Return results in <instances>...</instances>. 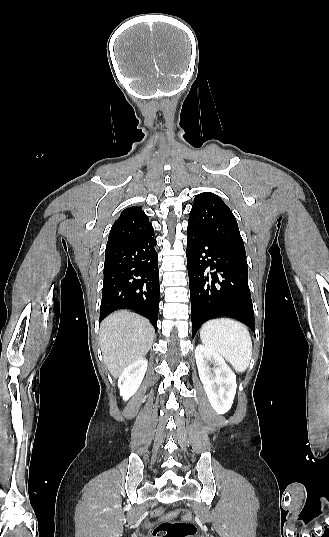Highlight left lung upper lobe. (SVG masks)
Wrapping results in <instances>:
<instances>
[{
    "mask_svg": "<svg viewBox=\"0 0 329 537\" xmlns=\"http://www.w3.org/2000/svg\"><path fill=\"white\" fill-rule=\"evenodd\" d=\"M188 225L211 241L246 256L237 221L219 196L210 192L197 195Z\"/></svg>",
    "mask_w": 329,
    "mask_h": 537,
    "instance_id": "5c2ea615",
    "label": "left lung upper lobe"
}]
</instances>
